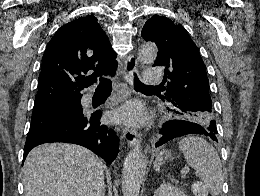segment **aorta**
Instances as JSON below:
<instances>
[{
  "label": "aorta",
  "mask_w": 260,
  "mask_h": 196,
  "mask_svg": "<svg viewBox=\"0 0 260 196\" xmlns=\"http://www.w3.org/2000/svg\"><path fill=\"white\" fill-rule=\"evenodd\" d=\"M158 49L155 44L146 43L139 50V59L143 63L154 62ZM147 158L140 145H136L126 156L122 171L123 196H139L140 185L147 167Z\"/></svg>",
  "instance_id": "1"
}]
</instances>
